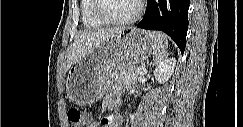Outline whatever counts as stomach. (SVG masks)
Wrapping results in <instances>:
<instances>
[{
	"label": "stomach",
	"mask_w": 243,
	"mask_h": 127,
	"mask_svg": "<svg viewBox=\"0 0 243 127\" xmlns=\"http://www.w3.org/2000/svg\"><path fill=\"white\" fill-rule=\"evenodd\" d=\"M154 34L126 28L82 56L68 71V99L77 105H88L99 100L109 86L113 72L124 66H134L151 54L155 49Z\"/></svg>",
	"instance_id": "0dacf381"
}]
</instances>
